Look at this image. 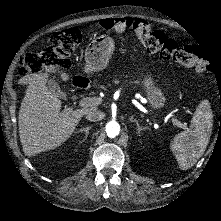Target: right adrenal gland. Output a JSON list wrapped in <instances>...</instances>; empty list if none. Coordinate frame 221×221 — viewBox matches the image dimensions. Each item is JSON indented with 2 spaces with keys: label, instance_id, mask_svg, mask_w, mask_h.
<instances>
[{
  "label": "right adrenal gland",
  "instance_id": "right-adrenal-gland-1",
  "mask_svg": "<svg viewBox=\"0 0 221 221\" xmlns=\"http://www.w3.org/2000/svg\"><path fill=\"white\" fill-rule=\"evenodd\" d=\"M90 128H91V126H87V127H84V128H81V129L76 130V132H79V131H85V132L88 134Z\"/></svg>",
  "mask_w": 221,
  "mask_h": 221
}]
</instances>
